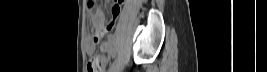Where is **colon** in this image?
I'll list each match as a JSON object with an SVG mask.
<instances>
[{"label": "colon", "instance_id": "1", "mask_svg": "<svg viewBox=\"0 0 267 72\" xmlns=\"http://www.w3.org/2000/svg\"><path fill=\"white\" fill-rule=\"evenodd\" d=\"M119 3L120 2H115V7H114V11H118L119 10ZM114 26V22L109 23V25L107 26V30H111ZM96 41H99V37H96ZM88 70L89 72H99L100 71V63L98 60L96 59H92L89 64H88Z\"/></svg>", "mask_w": 267, "mask_h": 72}]
</instances>
